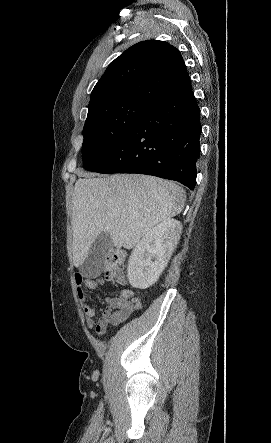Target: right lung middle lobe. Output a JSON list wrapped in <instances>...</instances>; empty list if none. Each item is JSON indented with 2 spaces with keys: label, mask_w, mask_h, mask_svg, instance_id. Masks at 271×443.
Segmentation results:
<instances>
[{
  "label": "right lung middle lobe",
  "mask_w": 271,
  "mask_h": 443,
  "mask_svg": "<svg viewBox=\"0 0 271 443\" xmlns=\"http://www.w3.org/2000/svg\"><path fill=\"white\" fill-rule=\"evenodd\" d=\"M150 104L143 99H123L95 107L83 128V167L95 171L102 166Z\"/></svg>",
  "instance_id": "obj_1"
}]
</instances>
